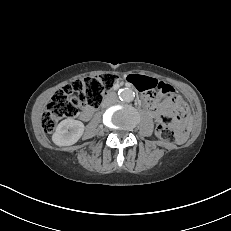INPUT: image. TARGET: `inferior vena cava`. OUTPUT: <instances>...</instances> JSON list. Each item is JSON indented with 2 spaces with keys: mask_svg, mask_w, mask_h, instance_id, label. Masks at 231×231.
<instances>
[{
  "mask_svg": "<svg viewBox=\"0 0 231 231\" xmlns=\"http://www.w3.org/2000/svg\"><path fill=\"white\" fill-rule=\"evenodd\" d=\"M117 101V96L114 93H110L106 98L107 104H113Z\"/></svg>",
  "mask_w": 231,
  "mask_h": 231,
  "instance_id": "inferior-vena-cava-1",
  "label": "inferior vena cava"
}]
</instances>
